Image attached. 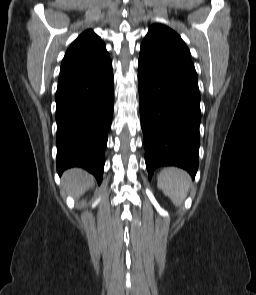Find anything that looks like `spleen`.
I'll list each match as a JSON object with an SVG mask.
<instances>
[{"label":"spleen","instance_id":"spleen-1","mask_svg":"<svg viewBox=\"0 0 256 295\" xmlns=\"http://www.w3.org/2000/svg\"><path fill=\"white\" fill-rule=\"evenodd\" d=\"M191 184L189 175L181 169L169 167L163 169L157 179V186L170 197L175 206L182 204Z\"/></svg>","mask_w":256,"mask_h":295}]
</instances>
